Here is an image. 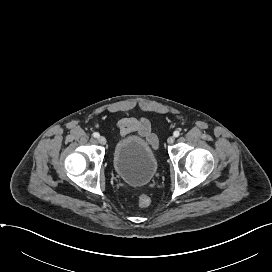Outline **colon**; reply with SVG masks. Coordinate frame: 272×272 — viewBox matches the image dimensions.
<instances>
[{
    "label": "colon",
    "mask_w": 272,
    "mask_h": 272,
    "mask_svg": "<svg viewBox=\"0 0 272 272\" xmlns=\"http://www.w3.org/2000/svg\"><path fill=\"white\" fill-rule=\"evenodd\" d=\"M137 203L142 208L147 207L150 204V198L147 195L142 194L138 197Z\"/></svg>",
    "instance_id": "5ec220e1"
}]
</instances>
